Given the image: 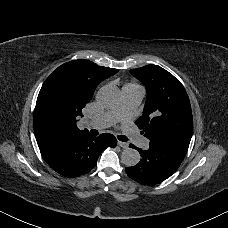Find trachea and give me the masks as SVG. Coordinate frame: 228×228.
<instances>
[{"label":"trachea","instance_id":"1","mask_svg":"<svg viewBox=\"0 0 228 228\" xmlns=\"http://www.w3.org/2000/svg\"><path fill=\"white\" fill-rule=\"evenodd\" d=\"M91 133L94 134V135H97V131H96V130H91ZM118 139H119L120 141H124V142L130 140L127 136H124V135H119V136H118Z\"/></svg>","mask_w":228,"mask_h":228}]
</instances>
